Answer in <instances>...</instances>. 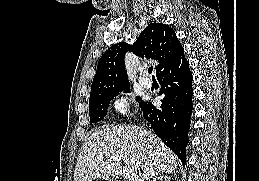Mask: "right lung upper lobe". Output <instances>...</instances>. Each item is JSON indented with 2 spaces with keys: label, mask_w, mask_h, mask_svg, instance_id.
Here are the masks:
<instances>
[{
  "label": "right lung upper lobe",
  "mask_w": 259,
  "mask_h": 181,
  "mask_svg": "<svg viewBox=\"0 0 259 181\" xmlns=\"http://www.w3.org/2000/svg\"><path fill=\"white\" fill-rule=\"evenodd\" d=\"M131 51L137 56L158 60L157 73L184 51L175 31L168 25L150 23L133 45L117 43L100 58L94 76L90 98L120 88L129 87L124 56Z\"/></svg>",
  "instance_id": "right-lung-upper-lobe-1"
}]
</instances>
